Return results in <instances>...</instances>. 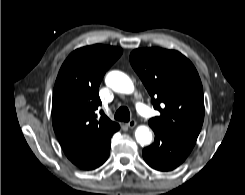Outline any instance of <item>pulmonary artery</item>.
Returning a JSON list of instances; mask_svg holds the SVG:
<instances>
[{"label": "pulmonary artery", "instance_id": "e3ab8cb5", "mask_svg": "<svg viewBox=\"0 0 245 195\" xmlns=\"http://www.w3.org/2000/svg\"><path fill=\"white\" fill-rule=\"evenodd\" d=\"M138 112L145 117H151L153 115L151 109H149L147 106L137 103L136 105Z\"/></svg>", "mask_w": 245, "mask_h": 195}]
</instances>
